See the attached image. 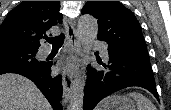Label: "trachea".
<instances>
[{
  "label": "trachea",
  "mask_w": 171,
  "mask_h": 110,
  "mask_svg": "<svg viewBox=\"0 0 171 110\" xmlns=\"http://www.w3.org/2000/svg\"><path fill=\"white\" fill-rule=\"evenodd\" d=\"M65 35L61 33L59 36L48 38L46 37L45 40L52 45L53 49H59L62 47L64 43Z\"/></svg>",
  "instance_id": "1"
}]
</instances>
